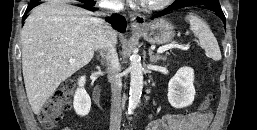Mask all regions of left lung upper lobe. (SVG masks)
Returning a JSON list of instances; mask_svg holds the SVG:
<instances>
[{
    "label": "left lung upper lobe",
    "mask_w": 257,
    "mask_h": 130,
    "mask_svg": "<svg viewBox=\"0 0 257 130\" xmlns=\"http://www.w3.org/2000/svg\"><path fill=\"white\" fill-rule=\"evenodd\" d=\"M189 1H194V0H176L174 3L175 4H182V3H187Z\"/></svg>",
    "instance_id": "5c2ea615"
}]
</instances>
